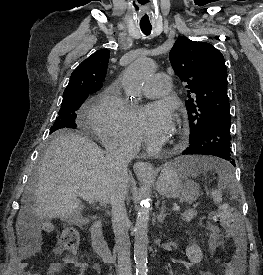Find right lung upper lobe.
<instances>
[{"mask_svg":"<svg viewBox=\"0 0 263 275\" xmlns=\"http://www.w3.org/2000/svg\"><path fill=\"white\" fill-rule=\"evenodd\" d=\"M110 51L102 49L85 59L71 74L63 97L85 92L92 94L102 87L105 78Z\"/></svg>","mask_w":263,"mask_h":275,"instance_id":"1","label":"right lung upper lobe"}]
</instances>
